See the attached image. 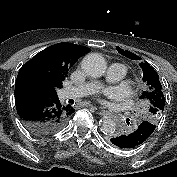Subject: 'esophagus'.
<instances>
[{"instance_id": "34e87169", "label": "esophagus", "mask_w": 177, "mask_h": 177, "mask_svg": "<svg viewBox=\"0 0 177 177\" xmlns=\"http://www.w3.org/2000/svg\"><path fill=\"white\" fill-rule=\"evenodd\" d=\"M99 113H100L101 115H106V114H108V111H106V110H100Z\"/></svg>"}]
</instances>
